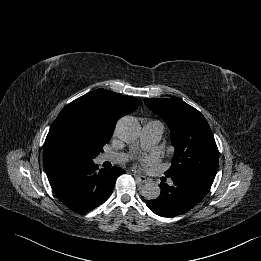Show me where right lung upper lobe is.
Segmentation results:
<instances>
[{"label":"right lung upper lobe","mask_w":261,"mask_h":261,"mask_svg":"<svg viewBox=\"0 0 261 261\" xmlns=\"http://www.w3.org/2000/svg\"><path fill=\"white\" fill-rule=\"evenodd\" d=\"M142 102L134 97L97 89L66 105L53 122L43 147V161L46 174L67 167L59 163L51 152V142L61 124L71 115L79 112L91 114L100 125L113 133L120 117L135 111Z\"/></svg>","instance_id":"right-lung-upper-lobe-1"}]
</instances>
